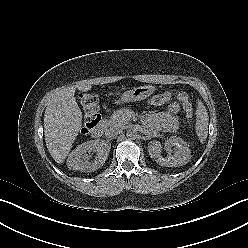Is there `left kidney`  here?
<instances>
[{"label":"left kidney","instance_id":"left-kidney-1","mask_svg":"<svg viewBox=\"0 0 248 248\" xmlns=\"http://www.w3.org/2000/svg\"><path fill=\"white\" fill-rule=\"evenodd\" d=\"M168 143L175 148L174 155L168 158L161 156V144L159 141H151L148 145L150 156L153 157L159 165L165 167H179L185 165L191 159V150L182 138L172 136L169 138Z\"/></svg>","mask_w":248,"mask_h":248}]
</instances>
